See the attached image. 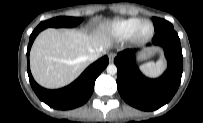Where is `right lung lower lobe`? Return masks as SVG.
Segmentation results:
<instances>
[{
	"mask_svg": "<svg viewBox=\"0 0 203 123\" xmlns=\"http://www.w3.org/2000/svg\"><path fill=\"white\" fill-rule=\"evenodd\" d=\"M40 31H42V29L36 28L32 32L27 49V72L32 89L41 101L54 109L68 110L83 105L92 95L96 78L108 65V57L104 56L90 65L77 80L67 87L58 90L42 88L33 79L29 66L30 49L34 39Z\"/></svg>",
	"mask_w": 203,
	"mask_h": 123,
	"instance_id": "98d812e1",
	"label": "right lung lower lobe"
}]
</instances>
